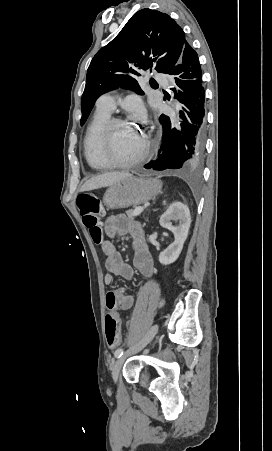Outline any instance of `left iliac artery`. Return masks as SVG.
<instances>
[{
	"label": "left iliac artery",
	"instance_id": "1",
	"mask_svg": "<svg viewBox=\"0 0 272 451\" xmlns=\"http://www.w3.org/2000/svg\"><path fill=\"white\" fill-rule=\"evenodd\" d=\"M123 353H124L123 349H117L115 351V357L120 358L123 355Z\"/></svg>",
	"mask_w": 272,
	"mask_h": 451
}]
</instances>
